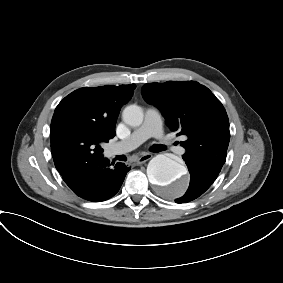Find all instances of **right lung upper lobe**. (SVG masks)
<instances>
[{
  "mask_svg": "<svg viewBox=\"0 0 283 283\" xmlns=\"http://www.w3.org/2000/svg\"><path fill=\"white\" fill-rule=\"evenodd\" d=\"M135 84L80 88L56 107L51 122V150L56 169L63 173L72 165L71 134H95L106 142L115 136L121 107L133 95Z\"/></svg>",
  "mask_w": 283,
  "mask_h": 283,
  "instance_id": "1",
  "label": "right lung upper lobe"
}]
</instances>
